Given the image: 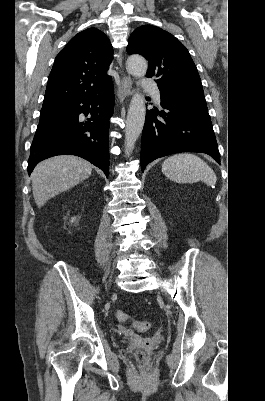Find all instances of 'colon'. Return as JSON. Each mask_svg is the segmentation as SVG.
Returning a JSON list of instances; mask_svg holds the SVG:
<instances>
[{
	"instance_id": "5ec220e1",
	"label": "colon",
	"mask_w": 265,
	"mask_h": 401,
	"mask_svg": "<svg viewBox=\"0 0 265 401\" xmlns=\"http://www.w3.org/2000/svg\"><path fill=\"white\" fill-rule=\"evenodd\" d=\"M116 318L121 322L129 321V316L123 311H118L116 313ZM132 325L138 331H147L151 326L150 323L147 322V321L133 322ZM136 360H137V363L139 364V366L142 367V366L145 365L146 356H145V353L142 350H138L136 352Z\"/></svg>"
}]
</instances>
